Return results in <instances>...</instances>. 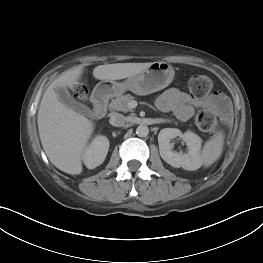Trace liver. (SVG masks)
Segmentation results:
<instances>
[{
	"mask_svg": "<svg viewBox=\"0 0 263 263\" xmlns=\"http://www.w3.org/2000/svg\"><path fill=\"white\" fill-rule=\"evenodd\" d=\"M151 63H114L94 68L98 80H120L140 73ZM83 67L67 71L54 80L44 92L38 110V131L43 149L51 163L63 172H82V156L94 131V124L85 116L61 103L56 88L77 85Z\"/></svg>",
	"mask_w": 263,
	"mask_h": 263,
	"instance_id": "liver-1",
	"label": "liver"
}]
</instances>
